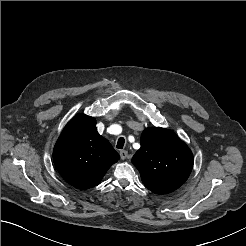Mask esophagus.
Listing matches in <instances>:
<instances>
[{"instance_id":"1","label":"esophagus","mask_w":246,"mask_h":246,"mask_svg":"<svg viewBox=\"0 0 246 246\" xmlns=\"http://www.w3.org/2000/svg\"><path fill=\"white\" fill-rule=\"evenodd\" d=\"M119 154L122 160H125L128 157V152L126 150H121Z\"/></svg>"}]
</instances>
